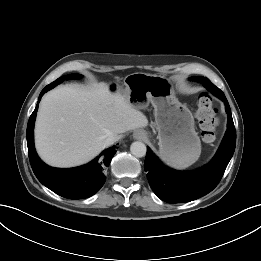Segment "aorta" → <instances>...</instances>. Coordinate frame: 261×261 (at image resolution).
Wrapping results in <instances>:
<instances>
[{"mask_svg":"<svg viewBox=\"0 0 261 261\" xmlns=\"http://www.w3.org/2000/svg\"><path fill=\"white\" fill-rule=\"evenodd\" d=\"M130 151L135 157H144L146 155V145L140 141L133 142L130 146Z\"/></svg>","mask_w":261,"mask_h":261,"instance_id":"762f6f07","label":"aorta"}]
</instances>
